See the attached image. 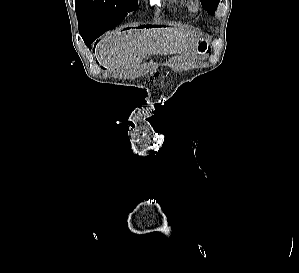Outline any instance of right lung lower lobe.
Returning <instances> with one entry per match:
<instances>
[{
    "label": "right lung lower lobe",
    "mask_w": 299,
    "mask_h": 273,
    "mask_svg": "<svg viewBox=\"0 0 299 273\" xmlns=\"http://www.w3.org/2000/svg\"><path fill=\"white\" fill-rule=\"evenodd\" d=\"M105 33L104 30H91L86 33L81 34L85 44L89 49H91V43L96 40L100 35ZM98 42V41H96Z\"/></svg>",
    "instance_id": "obj_1"
}]
</instances>
